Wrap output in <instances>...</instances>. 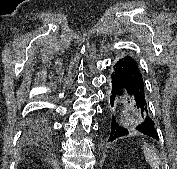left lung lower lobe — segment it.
<instances>
[{"mask_svg": "<svg viewBox=\"0 0 177 169\" xmlns=\"http://www.w3.org/2000/svg\"><path fill=\"white\" fill-rule=\"evenodd\" d=\"M111 79L112 98L110 100L115 115L112 119L108 141L112 142L116 138L129 133L117 121L116 111L122 105L135 106L141 113L143 121L135 128L138 132L159 139L146 102L143 72L138 60L132 56L117 60L113 66Z\"/></svg>", "mask_w": 177, "mask_h": 169, "instance_id": "left-lung-lower-lobe-1", "label": "left lung lower lobe"}]
</instances>
